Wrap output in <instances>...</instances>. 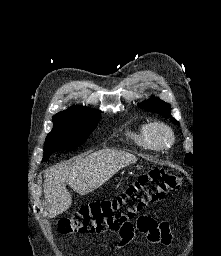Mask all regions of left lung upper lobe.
<instances>
[{
	"instance_id": "left-lung-upper-lobe-1",
	"label": "left lung upper lobe",
	"mask_w": 221,
	"mask_h": 256,
	"mask_svg": "<svg viewBox=\"0 0 221 256\" xmlns=\"http://www.w3.org/2000/svg\"><path fill=\"white\" fill-rule=\"evenodd\" d=\"M138 106L145 109L146 111L155 112V113H158L166 118H170L171 122L179 125V122L177 120H175L170 114V112H171L170 104L164 102L163 100H161L157 97H151L149 100H145L142 103L138 104ZM190 157L191 156L187 154L186 158H185V162L189 165L191 164Z\"/></svg>"
}]
</instances>
